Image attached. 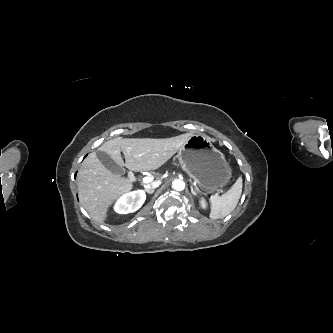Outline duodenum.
<instances>
[{
  "instance_id": "1",
  "label": "duodenum",
  "mask_w": 333,
  "mask_h": 333,
  "mask_svg": "<svg viewBox=\"0 0 333 333\" xmlns=\"http://www.w3.org/2000/svg\"><path fill=\"white\" fill-rule=\"evenodd\" d=\"M130 177H133V173H130Z\"/></svg>"
}]
</instances>
